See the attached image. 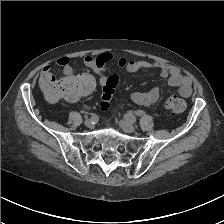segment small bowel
<instances>
[{"label":"small bowel","mask_w":224,"mask_h":224,"mask_svg":"<svg viewBox=\"0 0 224 224\" xmlns=\"http://www.w3.org/2000/svg\"><path fill=\"white\" fill-rule=\"evenodd\" d=\"M112 60H116L119 67L127 70L130 73L158 69L160 76L168 79L169 86L178 88L181 96L187 98L192 93V84L190 79L182 75L177 67L167 63H152L149 61L130 59L122 56L115 57L111 53H103L95 57L86 56L84 58V64L87 68L96 74L99 82L103 85L107 79V77L103 74V70ZM56 64L66 70L68 68L69 60L66 57H61L56 60ZM51 77H53L51 67L45 66L41 73V83L43 84L45 80ZM159 96V87H153L146 91H137L132 93L131 100L139 105L150 106L157 102Z\"/></svg>","instance_id":"1"}]
</instances>
